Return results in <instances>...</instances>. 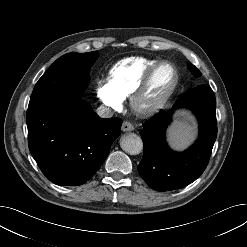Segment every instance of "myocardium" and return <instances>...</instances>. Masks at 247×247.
<instances>
[{
    "instance_id": "obj_1",
    "label": "myocardium",
    "mask_w": 247,
    "mask_h": 247,
    "mask_svg": "<svg viewBox=\"0 0 247 247\" xmlns=\"http://www.w3.org/2000/svg\"><path fill=\"white\" fill-rule=\"evenodd\" d=\"M164 65H167L172 69V71L174 73L173 82H172L170 88L168 89V91L156 103H154L150 106H147V107H143L141 105V101L145 95L146 89H147V87L151 81V78L154 75V73L160 67H162ZM179 79H180L179 72H178L177 68L174 66V64H172L171 62L162 60V61H158L157 63L152 65L143 74L142 78L140 79V81L138 82V84L134 88L133 92L129 96L130 107H131L132 111L140 117H149V116H152L155 113H157L159 110H161L167 104V102L173 96V94H174V92H175V90L179 84Z\"/></svg>"
}]
</instances>
